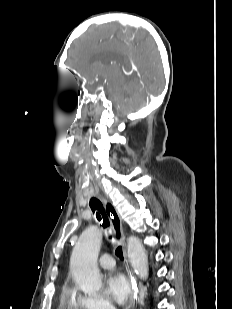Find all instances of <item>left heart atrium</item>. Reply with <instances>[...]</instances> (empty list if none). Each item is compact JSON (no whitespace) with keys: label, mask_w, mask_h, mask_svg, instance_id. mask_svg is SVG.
<instances>
[{"label":"left heart atrium","mask_w":232,"mask_h":309,"mask_svg":"<svg viewBox=\"0 0 232 309\" xmlns=\"http://www.w3.org/2000/svg\"><path fill=\"white\" fill-rule=\"evenodd\" d=\"M107 288L112 299L119 305H125L132 298V286L124 273L112 272L107 278Z\"/></svg>","instance_id":"left-heart-atrium-1"}]
</instances>
